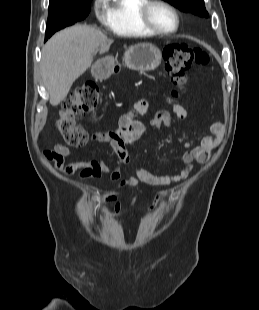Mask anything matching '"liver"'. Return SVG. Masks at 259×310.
<instances>
[{"instance_id":"obj_1","label":"liver","mask_w":259,"mask_h":310,"mask_svg":"<svg viewBox=\"0 0 259 310\" xmlns=\"http://www.w3.org/2000/svg\"><path fill=\"white\" fill-rule=\"evenodd\" d=\"M112 43L104 33L87 25L66 28L46 42L41 75L52 106L66 98L74 81L91 66L98 49L106 52Z\"/></svg>"}]
</instances>
